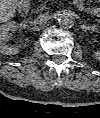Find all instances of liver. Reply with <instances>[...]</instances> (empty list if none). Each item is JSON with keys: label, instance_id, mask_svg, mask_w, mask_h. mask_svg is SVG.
Wrapping results in <instances>:
<instances>
[{"label": "liver", "instance_id": "1", "mask_svg": "<svg viewBox=\"0 0 100 118\" xmlns=\"http://www.w3.org/2000/svg\"><path fill=\"white\" fill-rule=\"evenodd\" d=\"M16 12L15 0H0L1 21H6Z\"/></svg>", "mask_w": 100, "mask_h": 118}]
</instances>
